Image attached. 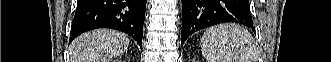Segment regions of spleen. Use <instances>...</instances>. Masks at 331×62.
Masks as SVG:
<instances>
[{"label":"spleen","mask_w":331,"mask_h":62,"mask_svg":"<svg viewBox=\"0 0 331 62\" xmlns=\"http://www.w3.org/2000/svg\"><path fill=\"white\" fill-rule=\"evenodd\" d=\"M201 51L208 62H256L251 34L237 24H221L206 30Z\"/></svg>","instance_id":"3e777b00"}]
</instances>
